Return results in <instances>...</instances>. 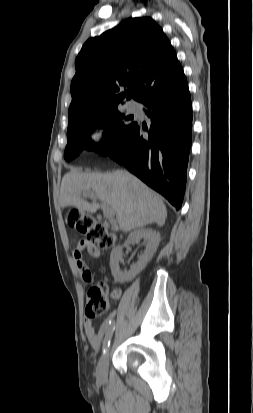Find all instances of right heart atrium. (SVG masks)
Returning <instances> with one entry per match:
<instances>
[{
    "label": "right heart atrium",
    "mask_w": 253,
    "mask_h": 413,
    "mask_svg": "<svg viewBox=\"0 0 253 413\" xmlns=\"http://www.w3.org/2000/svg\"><path fill=\"white\" fill-rule=\"evenodd\" d=\"M91 138L94 142L100 143L104 138V130L100 127L95 128L91 134Z\"/></svg>",
    "instance_id": "right-heart-atrium-1"
}]
</instances>
